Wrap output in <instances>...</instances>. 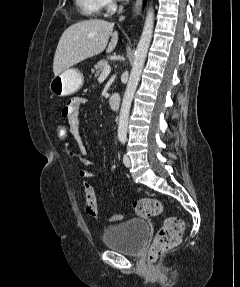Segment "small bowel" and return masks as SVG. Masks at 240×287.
I'll use <instances>...</instances> for the list:
<instances>
[{"instance_id":"1","label":"small bowel","mask_w":240,"mask_h":287,"mask_svg":"<svg viewBox=\"0 0 240 287\" xmlns=\"http://www.w3.org/2000/svg\"><path fill=\"white\" fill-rule=\"evenodd\" d=\"M87 100L83 97L75 96L72 97L63 107L61 116L71 127V133L76 143V153L74 155H67L74 163L82 166L80 169V175L85 178H99L100 175L88 169V167L95 166V163L89 158V153L84 145L80 136L78 125H79V113L81 107L86 104Z\"/></svg>"}]
</instances>
